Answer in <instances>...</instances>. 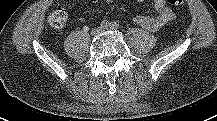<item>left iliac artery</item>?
<instances>
[{
    "mask_svg": "<svg viewBox=\"0 0 217 121\" xmlns=\"http://www.w3.org/2000/svg\"><path fill=\"white\" fill-rule=\"evenodd\" d=\"M110 28L113 29H117L118 28V24L116 22H111L110 23Z\"/></svg>",
    "mask_w": 217,
    "mask_h": 121,
    "instance_id": "44dca946",
    "label": "left iliac artery"
}]
</instances>
